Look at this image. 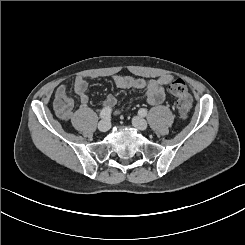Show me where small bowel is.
I'll return each mask as SVG.
<instances>
[{
  "instance_id": "obj_1",
  "label": "small bowel",
  "mask_w": 245,
  "mask_h": 245,
  "mask_svg": "<svg viewBox=\"0 0 245 245\" xmlns=\"http://www.w3.org/2000/svg\"><path fill=\"white\" fill-rule=\"evenodd\" d=\"M115 84L121 89H135L144 91L146 100L150 105H159L166 98L165 87L171 83L173 77L170 75H162L156 79L145 80L127 75L113 76ZM74 92L78 96L80 102L86 105L89 100L88 83L84 77L78 76L74 81ZM117 99L110 94L103 102L104 108H114ZM74 101L69 96L65 85H59L55 91L54 110L56 115L65 121H74L77 112H74Z\"/></svg>"
}]
</instances>
